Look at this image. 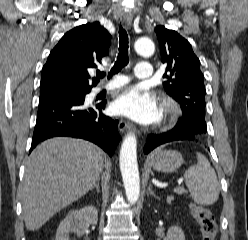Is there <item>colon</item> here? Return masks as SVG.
Segmentation results:
<instances>
[{"label":"colon","instance_id":"5ec220e1","mask_svg":"<svg viewBox=\"0 0 248 240\" xmlns=\"http://www.w3.org/2000/svg\"><path fill=\"white\" fill-rule=\"evenodd\" d=\"M191 213L200 226L202 239L215 240L218 226L211 211L201 206L192 205Z\"/></svg>","mask_w":248,"mask_h":240}]
</instances>
